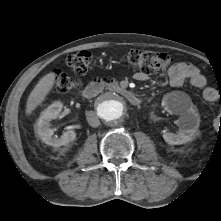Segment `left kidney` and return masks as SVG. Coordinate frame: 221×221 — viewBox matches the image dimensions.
<instances>
[{"mask_svg": "<svg viewBox=\"0 0 221 221\" xmlns=\"http://www.w3.org/2000/svg\"><path fill=\"white\" fill-rule=\"evenodd\" d=\"M162 106L170 113L179 115V130L176 134L163 132V138L170 145H180L192 140L200 123L199 115L191 98L181 91H173L164 95Z\"/></svg>", "mask_w": 221, "mask_h": 221, "instance_id": "5707ae66", "label": "left kidney"}]
</instances>
